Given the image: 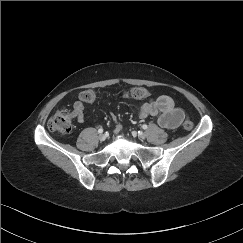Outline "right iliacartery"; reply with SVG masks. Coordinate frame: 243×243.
<instances>
[{
    "instance_id": "1",
    "label": "right iliac artery",
    "mask_w": 243,
    "mask_h": 243,
    "mask_svg": "<svg viewBox=\"0 0 243 243\" xmlns=\"http://www.w3.org/2000/svg\"><path fill=\"white\" fill-rule=\"evenodd\" d=\"M98 133H103V129L102 128L98 129Z\"/></svg>"
}]
</instances>
